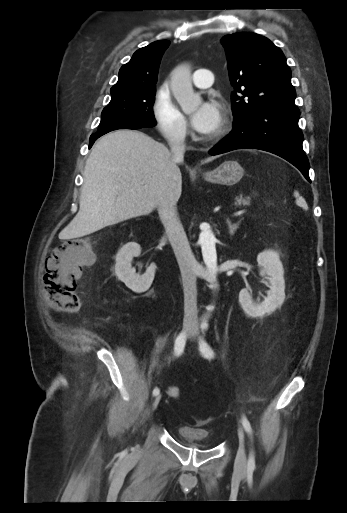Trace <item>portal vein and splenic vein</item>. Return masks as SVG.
Listing matches in <instances>:
<instances>
[{
  "mask_svg": "<svg viewBox=\"0 0 347 513\" xmlns=\"http://www.w3.org/2000/svg\"><path fill=\"white\" fill-rule=\"evenodd\" d=\"M245 212H246L245 210H241V211L239 212V215H243Z\"/></svg>",
  "mask_w": 347,
  "mask_h": 513,
  "instance_id": "18ae733b",
  "label": "portal vein and splenic vein"
}]
</instances>
